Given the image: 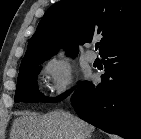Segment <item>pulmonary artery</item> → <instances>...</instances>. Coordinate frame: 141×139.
<instances>
[{
	"instance_id": "1",
	"label": "pulmonary artery",
	"mask_w": 141,
	"mask_h": 139,
	"mask_svg": "<svg viewBox=\"0 0 141 139\" xmlns=\"http://www.w3.org/2000/svg\"><path fill=\"white\" fill-rule=\"evenodd\" d=\"M96 58H97V56H96V54H95L93 51L87 50V51L85 52V59H86L88 62L93 63V62L96 60Z\"/></svg>"
}]
</instances>
